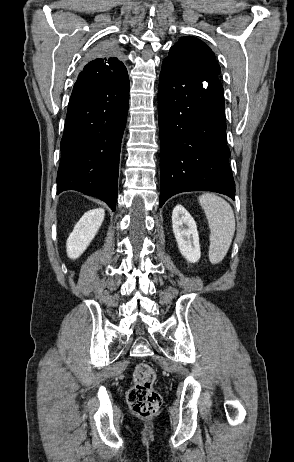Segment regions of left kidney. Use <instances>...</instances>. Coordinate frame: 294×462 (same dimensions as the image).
I'll return each mask as SVG.
<instances>
[{"label": "left kidney", "mask_w": 294, "mask_h": 462, "mask_svg": "<svg viewBox=\"0 0 294 462\" xmlns=\"http://www.w3.org/2000/svg\"><path fill=\"white\" fill-rule=\"evenodd\" d=\"M172 228L182 256L191 263L198 262L201 251L196 222L181 205L175 206L173 210Z\"/></svg>", "instance_id": "1"}]
</instances>
